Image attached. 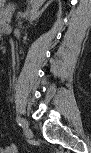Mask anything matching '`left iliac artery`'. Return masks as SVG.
<instances>
[{
    "label": "left iliac artery",
    "mask_w": 91,
    "mask_h": 153,
    "mask_svg": "<svg viewBox=\"0 0 91 153\" xmlns=\"http://www.w3.org/2000/svg\"><path fill=\"white\" fill-rule=\"evenodd\" d=\"M16 122L18 123L19 126L23 127V130H26V127H28L26 126L25 121L18 116L16 117ZM23 135H26V132H23Z\"/></svg>",
    "instance_id": "left-iliac-artery-1"
}]
</instances>
